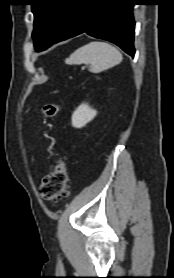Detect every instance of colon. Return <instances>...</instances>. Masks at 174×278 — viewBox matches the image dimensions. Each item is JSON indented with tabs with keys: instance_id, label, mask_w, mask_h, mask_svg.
Masks as SVG:
<instances>
[{
	"instance_id": "5ec220e1",
	"label": "colon",
	"mask_w": 174,
	"mask_h": 278,
	"mask_svg": "<svg viewBox=\"0 0 174 278\" xmlns=\"http://www.w3.org/2000/svg\"><path fill=\"white\" fill-rule=\"evenodd\" d=\"M60 111V106L47 103L42 112L46 117H55ZM41 197L49 202L56 203L69 196V177L65 162L60 159L56 162L51 172L42 180L39 187Z\"/></svg>"
}]
</instances>
